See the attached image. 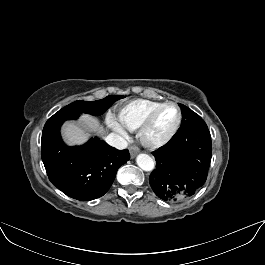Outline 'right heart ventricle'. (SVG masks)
Returning a JSON list of instances; mask_svg holds the SVG:
<instances>
[{
	"instance_id": "1",
	"label": "right heart ventricle",
	"mask_w": 265,
	"mask_h": 265,
	"mask_svg": "<svg viewBox=\"0 0 265 265\" xmlns=\"http://www.w3.org/2000/svg\"><path fill=\"white\" fill-rule=\"evenodd\" d=\"M158 104L160 102L142 98L119 103L116 106L118 121L122 127L135 131L139 128L148 112Z\"/></svg>"
}]
</instances>
